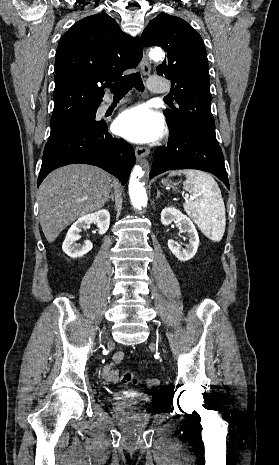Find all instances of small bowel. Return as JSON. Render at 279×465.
<instances>
[{
    "label": "small bowel",
    "instance_id": "small-bowel-1",
    "mask_svg": "<svg viewBox=\"0 0 279 465\" xmlns=\"http://www.w3.org/2000/svg\"><path fill=\"white\" fill-rule=\"evenodd\" d=\"M125 359V355L122 352H117L114 354L112 361L105 365L101 371V375L104 380L116 383L120 378L119 370L117 369V364L121 363Z\"/></svg>",
    "mask_w": 279,
    "mask_h": 465
}]
</instances>
